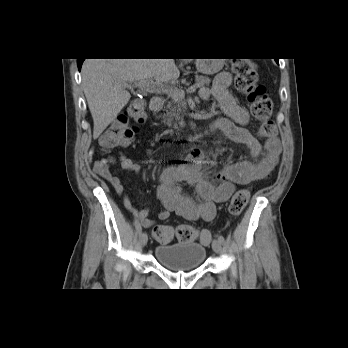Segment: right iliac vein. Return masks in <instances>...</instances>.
I'll return each mask as SVG.
<instances>
[{"mask_svg": "<svg viewBox=\"0 0 348 348\" xmlns=\"http://www.w3.org/2000/svg\"><path fill=\"white\" fill-rule=\"evenodd\" d=\"M148 241V235L146 232H143L139 235V242L141 244V246H145L147 244Z\"/></svg>", "mask_w": 348, "mask_h": 348, "instance_id": "right-iliac-vein-1", "label": "right iliac vein"}]
</instances>
